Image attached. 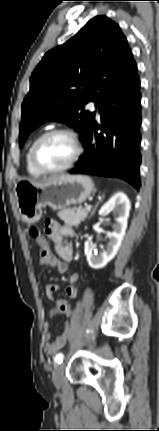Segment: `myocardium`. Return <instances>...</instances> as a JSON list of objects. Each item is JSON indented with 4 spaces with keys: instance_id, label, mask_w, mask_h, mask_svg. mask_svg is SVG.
Returning a JSON list of instances; mask_svg holds the SVG:
<instances>
[{
    "instance_id": "1",
    "label": "myocardium",
    "mask_w": 159,
    "mask_h": 431,
    "mask_svg": "<svg viewBox=\"0 0 159 431\" xmlns=\"http://www.w3.org/2000/svg\"><path fill=\"white\" fill-rule=\"evenodd\" d=\"M54 135H66V136H68L74 145L75 151H74L73 157L71 158V160L66 165H64L60 168L51 169V168H47V167L43 166L38 161L37 150H38L39 145L44 140H46L47 138L54 136ZM82 153H83L82 143L80 141L78 134L75 131H73L72 129H69V128H64V127L53 128V129H50V130L44 132L35 140V142L32 145V148H31V161H32L33 165L42 173H44V174H57V173L65 172V171L69 170L70 168H72L78 162Z\"/></svg>"
}]
</instances>
